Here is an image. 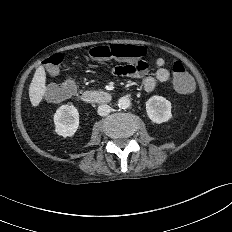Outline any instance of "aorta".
<instances>
[{
  "label": "aorta",
  "instance_id": "762f6f07",
  "mask_svg": "<svg viewBox=\"0 0 232 232\" xmlns=\"http://www.w3.org/2000/svg\"><path fill=\"white\" fill-rule=\"evenodd\" d=\"M131 102L127 96H123L118 100V106L121 109H127L130 106Z\"/></svg>",
  "mask_w": 232,
  "mask_h": 232
}]
</instances>
